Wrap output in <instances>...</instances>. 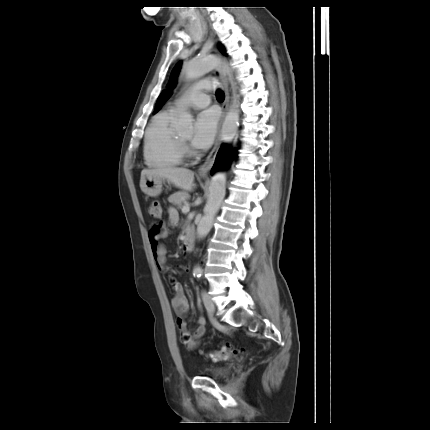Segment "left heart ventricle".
I'll use <instances>...</instances> for the list:
<instances>
[{"mask_svg": "<svg viewBox=\"0 0 430 430\" xmlns=\"http://www.w3.org/2000/svg\"><path fill=\"white\" fill-rule=\"evenodd\" d=\"M179 136H180L183 140L188 141V140L191 138V133H190V132H185V133H181V134H179Z\"/></svg>", "mask_w": 430, "mask_h": 430, "instance_id": "b2bd125f", "label": "left heart ventricle"}]
</instances>
